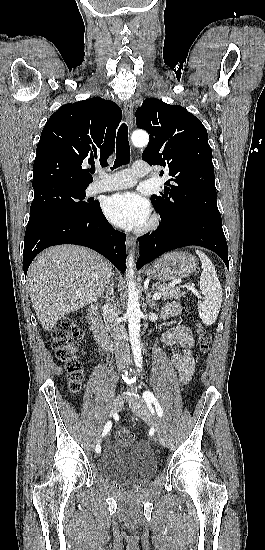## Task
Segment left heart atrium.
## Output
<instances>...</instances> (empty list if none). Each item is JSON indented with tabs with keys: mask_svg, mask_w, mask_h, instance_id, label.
I'll return each mask as SVG.
<instances>
[{
	"mask_svg": "<svg viewBox=\"0 0 265 550\" xmlns=\"http://www.w3.org/2000/svg\"><path fill=\"white\" fill-rule=\"evenodd\" d=\"M107 218L124 229L144 227L150 217V207L146 199L136 192L127 191L110 197L105 204Z\"/></svg>",
	"mask_w": 265,
	"mask_h": 550,
	"instance_id": "obj_1",
	"label": "left heart atrium"
}]
</instances>
